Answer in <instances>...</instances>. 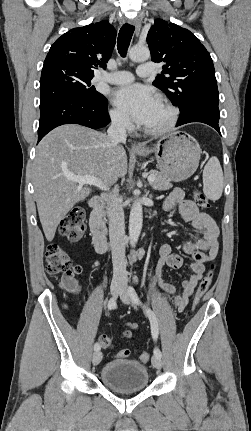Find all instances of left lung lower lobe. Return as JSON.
<instances>
[{"instance_id":"left-lung-lower-lobe-1","label":"left lung lower lobe","mask_w":251,"mask_h":431,"mask_svg":"<svg viewBox=\"0 0 251 431\" xmlns=\"http://www.w3.org/2000/svg\"><path fill=\"white\" fill-rule=\"evenodd\" d=\"M219 118L220 112L218 105L199 104L189 109L184 115H181L177 126L191 122H202L212 126L220 133V128L218 126Z\"/></svg>"}]
</instances>
